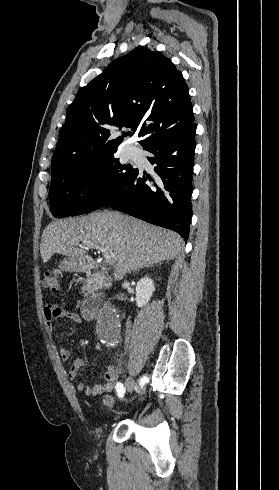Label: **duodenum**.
<instances>
[{
  "label": "duodenum",
  "instance_id": "410a0bca",
  "mask_svg": "<svg viewBox=\"0 0 279 490\" xmlns=\"http://www.w3.org/2000/svg\"><path fill=\"white\" fill-rule=\"evenodd\" d=\"M86 267H94V263H86ZM81 313L82 316L87 319H93L96 313V305L93 297H87L82 301L81 304Z\"/></svg>",
  "mask_w": 279,
  "mask_h": 490
}]
</instances>
